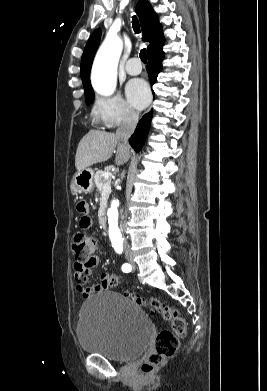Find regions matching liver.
<instances>
[{
  "label": "liver",
  "mask_w": 267,
  "mask_h": 391,
  "mask_svg": "<svg viewBox=\"0 0 267 391\" xmlns=\"http://www.w3.org/2000/svg\"><path fill=\"white\" fill-rule=\"evenodd\" d=\"M113 152L116 153L115 164L117 166L126 163L130 157V151L124 149L115 134L90 130L78 144L75 167L78 172L85 170L93 164L107 161L112 157Z\"/></svg>",
  "instance_id": "liver-1"
}]
</instances>
